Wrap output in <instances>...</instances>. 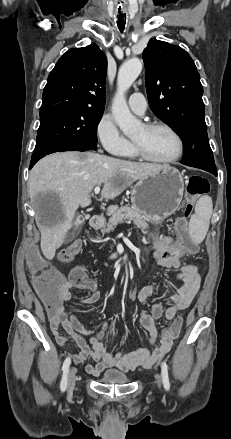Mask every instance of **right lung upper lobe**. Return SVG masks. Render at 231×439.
<instances>
[{
	"label": "right lung upper lobe",
	"instance_id": "cb5924a9",
	"mask_svg": "<svg viewBox=\"0 0 231 439\" xmlns=\"http://www.w3.org/2000/svg\"><path fill=\"white\" fill-rule=\"evenodd\" d=\"M107 59L96 44L72 48L50 72L40 117L71 109L104 110Z\"/></svg>",
	"mask_w": 231,
	"mask_h": 439
}]
</instances>
